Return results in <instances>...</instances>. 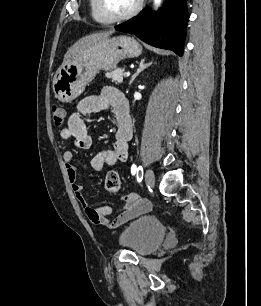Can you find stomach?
Listing matches in <instances>:
<instances>
[{
    "mask_svg": "<svg viewBox=\"0 0 261 306\" xmlns=\"http://www.w3.org/2000/svg\"><path fill=\"white\" fill-rule=\"evenodd\" d=\"M141 53V45L126 35L105 38L86 47L57 70L52 85L55 97L62 102L74 100L100 70L115 69L121 60Z\"/></svg>",
    "mask_w": 261,
    "mask_h": 306,
    "instance_id": "0dacf381",
    "label": "stomach"
}]
</instances>
